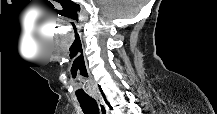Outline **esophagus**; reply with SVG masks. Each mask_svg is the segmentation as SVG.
Masks as SVG:
<instances>
[{
	"instance_id": "34e87169",
	"label": "esophagus",
	"mask_w": 217,
	"mask_h": 114,
	"mask_svg": "<svg viewBox=\"0 0 217 114\" xmlns=\"http://www.w3.org/2000/svg\"><path fill=\"white\" fill-rule=\"evenodd\" d=\"M95 98H96V100L98 102V105H99V108H100V113L104 114L105 113V108H104L103 98L101 96H96Z\"/></svg>"
}]
</instances>
